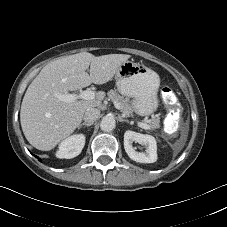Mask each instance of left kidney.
<instances>
[{"label":"left kidney","instance_id":"1","mask_svg":"<svg viewBox=\"0 0 227 227\" xmlns=\"http://www.w3.org/2000/svg\"><path fill=\"white\" fill-rule=\"evenodd\" d=\"M133 142H138L146 147L145 152H137L132 146ZM124 148L128 156L140 163H154L157 160V144L153 136L140 134L134 131H126L124 134Z\"/></svg>","mask_w":227,"mask_h":227}]
</instances>
